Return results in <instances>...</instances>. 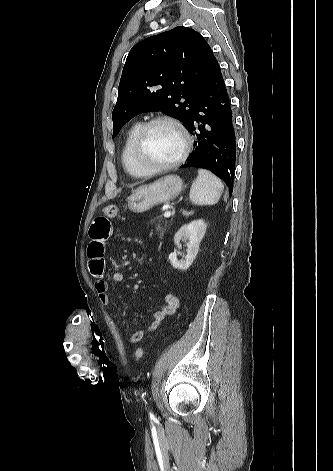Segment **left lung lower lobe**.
Returning <instances> with one entry per match:
<instances>
[{
    "mask_svg": "<svg viewBox=\"0 0 333 471\" xmlns=\"http://www.w3.org/2000/svg\"><path fill=\"white\" fill-rule=\"evenodd\" d=\"M194 136V151L181 168H206L233 190L236 134L230 99L218 62L199 91L195 112L186 127Z\"/></svg>",
    "mask_w": 333,
    "mask_h": 471,
    "instance_id": "0a47b994",
    "label": "left lung lower lobe"
}]
</instances>
